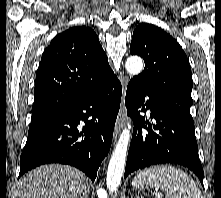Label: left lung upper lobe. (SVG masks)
<instances>
[{
    "label": "left lung upper lobe",
    "instance_id": "obj_1",
    "mask_svg": "<svg viewBox=\"0 0 221 198\" xmlns=\"http://www.w3.org/2000/svg\"><path fill=\"white\" fill-rule=\"evenodd\" d=\"M130 53L141 56L145 61L144 71L131 81L148 89L182 118L193 122L190 114L191 69L178 42L164 30L141 23L133 33Z\"/></svg>",
    "mask_w": 221,
    "mask_h": 198
}]
</instances>
